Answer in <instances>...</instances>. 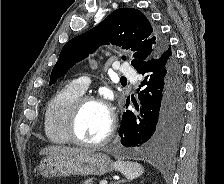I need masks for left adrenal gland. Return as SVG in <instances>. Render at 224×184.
Returning <instances> with one entry per match:
<instances>
[{"instance_id":"left-adrenal-gland-1","label":"left adrenal gland","mask_w":224,"mask_h":184,"mask_svg":"<svg viewBox=\"0 0 224 184\" xmlns=\"http://www.w3.org/2000/svg\"><path fill=\"white\" fill-rule=\"evenodd\" d=\"M119 183H121V181H118V182H116L115 184H119Z\"/></svg>"}]
</instances>
